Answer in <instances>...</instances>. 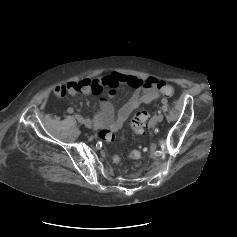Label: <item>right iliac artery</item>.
Masks as SVG:
<instances>
[{
    "label": "right iliac artery",
    "mask_w": 237,
    "mask_h": 237,
    "mask_svg": "<svg viewBox=\"0 0 237 237\" xmlns=\"http://www.w3.org/2000/svg\"><path fill=\"white\" fill-rule=\"evenodd\" d=\"M67 112L70 113V114H72V113L74 112V110H73V108L69 107V108L67 109Z\"/></svg>",
    "instance_id": "obj_1"
}]
</instances>
